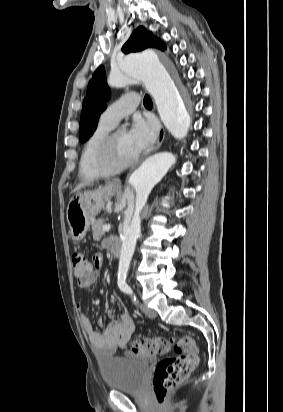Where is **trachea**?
<instances>
[{
	"mask_svg": "<svg viewBox=\"0 0 283 412\" xmlns=\"http://www.w3.org/2000/svg\"><path fill=\"white\" fill-rule=\"evenodd\" d=\"M143 102L145 107L152 106V100L148 95H145Z\"/></svg>",
	"mask_w": 283,
	"mask_h": 412,
	"instance_id": "trachea-1",
	"label": "trachea"
}]
</instances>
